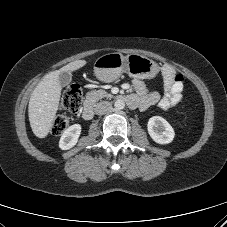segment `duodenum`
<instances>
[{"label": "duodenum", "instance_id": "obj_1", "mask_svg": "<svg viewBox=\"0 0 227 227\" xmlns=\"http://www.w3.org/2000/svg\"><path fill=\"white\" fill-rule=\"evenodd\" d=\"M124 101L131 108H135L137 106V100L132 95H126L123 97ZM94 116L93 104L90 101H86L82 110V117L85 120H91Z\"/></svg>", "mask_w": 227, "mask_h": 227}]
</instances>
